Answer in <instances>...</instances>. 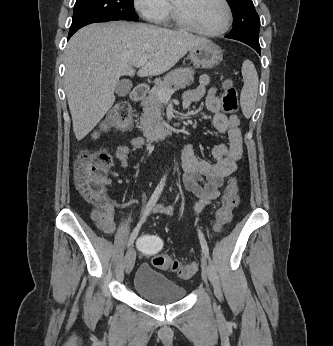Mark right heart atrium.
<instances>
[{"mask_svg":"<svg viewBox=\"0 0 333 346\" xmlns=\"http://www.w3.org/2000/svg\"><path fill=\"white\" fill-rule=\"evenodd\" d=\"M133 4L145 20L154 23L165 21L171 12L168 0H133Z\"/></svg>","mask_w":333,"mask_h":346,"instance_id":"d8ad5b80","label":"right heart atrium"}]
</instances>
